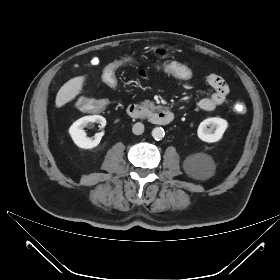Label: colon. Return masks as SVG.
<instances>
[{
	"label": "colon",
	"mask_w": 280,
	"mask_h": 280,
	"mask_svg": "<svg viewBox=\"0 0 280 280\" xmlns=\"http://www.w3.org/2000/svg\"><path fill=\"white\" fill-rule=\"evenodd\" d=\"M148 64L146 58L139 55H133L125 57L121 60L111 61L103 69V80L110 86L116 84V78H118L117 70L120 67H138L144 68ZM150 67L152 70L161 73L163 76L171 78L176 81L190 82L195 79L196 73L192 67L186 66L182 61H166V60H154L151 62ZM75 104L78 108L85 110L89 115H93L103 109L104 103L101 99H90L80 96L76 99ZM235 113L242 115L246 112V106L243 103H236L234 105Z\"/></svg>",
	"instance_id": "1"
}]
</instances>
